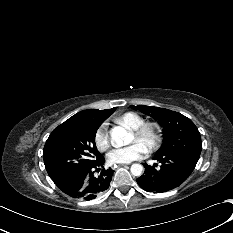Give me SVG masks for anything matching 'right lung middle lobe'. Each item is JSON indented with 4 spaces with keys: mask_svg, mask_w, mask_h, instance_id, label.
<instances>
[{
    "mask_svg": "<svg viewBox=\"0 0 233 233\" xmlns=\"http://www.w3.org/2000/svg\"><path fill=\"white\" fill-rule=\"evenodd\" d=\"M115 109L80 123L58 126L50 134L44 146L43 158L48 175L56 185L103 158L97 151L95 135Z\"/></svg>",
    "mask_w": 233,
    "mask_h": 233,
    "instance_id": "dd1d6c3e",
    "label": "right lung middle lobe"
}]
</instances>
